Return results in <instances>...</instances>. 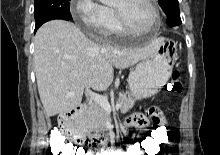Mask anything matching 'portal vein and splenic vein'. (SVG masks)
Wrapping results in <instances>:
<instances>
[{"label": "portal vein and splenic vein", "instance_id": "portal-vein-and-splenic-vein-1", "mask_svg": "<svg viewBox=\"0 0 220 155\" xmlns=\"http://www.w3.org/2000/svg\"><path fill=\"white\" fill-rule=\"evenodd\" d=\"M86 91L89 93L91 98L96 103H98L101 107H103L105 110H109V111L111 110V106H110L108 99L106 97L93 93L88 87H86ZM72 95H74L73 92L67 94V96H72ZM115 108L116 109L121 108V104H116Z\"/></svg>", "mask_w": 220, "mask_h": 155}]
</instances>
